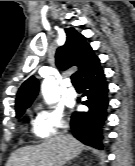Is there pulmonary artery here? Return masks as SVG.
Here are the masks:
<instances>
[{
  "label": "pulmonary artery",
  "instance_id": "obj_1",
  "mask_svg": "<svg viewBox=\"0 0 135 166\" xmlns=\"http://www.w3.org/2000/svg\"><path fill=\"white\" fill-rule=\"evenodd\" d=\"M76 90L72 87H69L68 90H67V96L70 97V98H74L76 97Z\"/></svg>",
  "mask_w": 135,
  "mask_h": 166
}]
</instances>
